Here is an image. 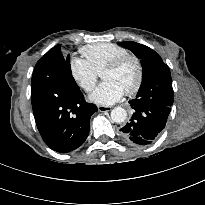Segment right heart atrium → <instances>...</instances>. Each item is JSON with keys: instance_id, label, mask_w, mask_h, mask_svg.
<instances>
[{"instance_id": "1", "label": "right heart atrium", "mask_w": 205, "mask_h": 205, "mask_svg": "<svg viewBox=\"0 0 205 205\" xmlns=\"http://www.w3.org/2000/svg\"><path fill=\"white\" fill-rule=\"evenodd\" d=\"M69 72L74 83L85 92H90L97 82L98 73L84 59L73 57Z\"/></svg>"}]
</instances>
